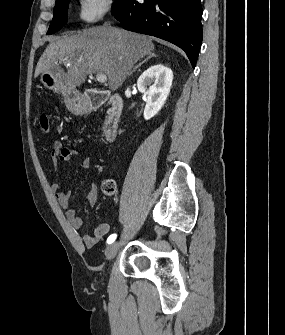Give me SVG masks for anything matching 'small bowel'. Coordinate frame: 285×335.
I'll list each match as a JSON object with an SVG mask.
<instances>
[{
  "instance_id": "c3829d8e",
  "label": "small bowel",
  "mask_w": 285,
  "mask_h": 335,
  "mask_svg": "<svg viewBox=\"0 0 285 335\" xmlns=\"http://www.w3.org/2000/svg\"><path fill=\"white\" fill-rule=\"evenodd\" d=\"M79 154V151L69 147H64L59 141H55L52 144L51 159L55 165L68 162L73 156H77ZM80 167L86 171L90 170L91 159L89 157L83 158L80 162ZM51 187L59 204L66 209V217L71 226L76 230L82 229L84 227L83 219L78 215L74 208H69V191L65 190L63 184L60 182L54 183ZM97 198L98 189L96 184H93L91 190L86 196V202L89 206H93L96 203ZM110 228L111 225L109 223H102L98 225L90 233L83 236V243L87 247L95 246L110 231Z\"/></svg>"
}]
</instances>
